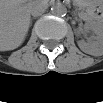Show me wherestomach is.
<instances>
[{
  "instance_id": "0dacf381",
  "label": "stomach",
  "mask_w": 103,
  "mask_h": 103,
  "mask_svg": "<svg viewBox=\"0 0 103 103\" xmlns=\"http://www.w3.org/2000/svg\"><path fill=\"white\" fill-rule=\"evenodd\" d=\"M78 4L81 6H84V7H88L89 9H92V7H93V4L87 0H81L78 2Z\"/></svg>"
}]
</instances>
